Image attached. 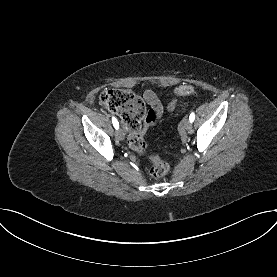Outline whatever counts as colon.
Listing matches in <instances>:
<instances>
[{
    "mask_svg": "<svg viewBox=\"0 0 277 277\" xmlns=\"http://www.w3.org/2000/svg\"><path fill=\"white\" fill-rule=\"evenodd\" d=\"M195 88L191 85H182L176 89L181 96L192 95ZM101 103L111 112L120 115L129 131V146L134 151L145 154L146 142L143 137L142 121L150 125H157L162 116L154 110L147 111L144 101L136 94L125 89H106L100 94ZM152 164L148 174L152 179L164 177L169 171V165L157 156H151Z\"/></svg>",
    "mask_w": 277,
    "mask_h": 277,
    "instance_id": "colon-1",
    "label": "colon"
}]
</instances>
